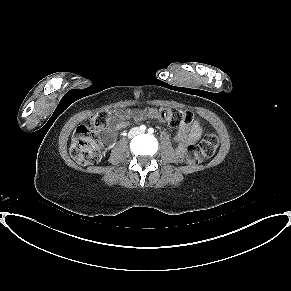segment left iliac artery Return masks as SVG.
<instances>
[{
	"instance_id": "left-iliac-artery-1",
	"label": "left iliac artery",
	"mask_w": 291,
	"mask_h": 291,
	"mask_svg": "<svg viewBox=\"0 0 291 291\" xmlns=\"http://www.w3.org/2000/svg\"><path fill=\"white\" fill-rule=\"evenodd\" d=\"M148 133H149V134L154 133V129H153V128H149V129H148Z\"/></svg>"
}]
</instances>
